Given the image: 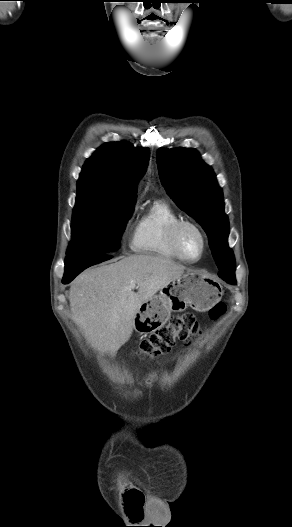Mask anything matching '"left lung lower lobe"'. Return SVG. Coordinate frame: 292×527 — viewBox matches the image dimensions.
<instances>
[{
    "label": "left lung lower lobe",
    "instance_id": "0a47b994",
    "mask_svg": "<svg viewBox=\"0 0 292 527\" xmlns=\"http://www.w3.org/2000/svg\"><path fill=\"white\" fill-rule=\"evenodd\" d=\"M223 280L227 281L228 283H235V277H228L224 275H219Z\"/></svg>",
    "mask_w": 292,
    "mask_h": 527
}]
</instances>
